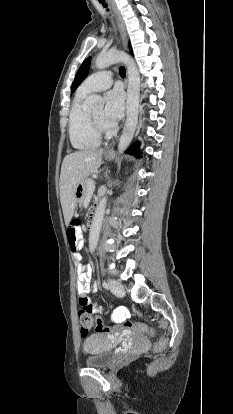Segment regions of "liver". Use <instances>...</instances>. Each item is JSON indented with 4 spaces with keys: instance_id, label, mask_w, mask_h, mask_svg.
I'll use <instances>...</instances> for the list:
<instances>
[{
    "instance_id": "6515ba94",
    "label": "liver",
    "mask_w": 233,
    "mask_h": 414,
    "mask_svg": "<svg viewBox=\"0 0 233 414\" xmlns=\"http://www.w3.org/2000/svg\"><path fill=\"white\" fill-rule=\"evenodd\" d=\"M102 155L103 149L92 148L65 156L60 173V200L66 225L70 223L75 210L76 188L84 178L98 170Z\"/></svg>"
}]
</instances>
